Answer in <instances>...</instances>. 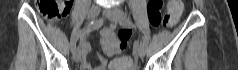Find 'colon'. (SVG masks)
I'll return each mask as SVG.
<instances>
[{"mask_svg": "<svg viewBox=\"0 0 238 70\" xmlns=\"http://www.w3.org/2000/svg\"><path fill=\"white\" fill-rule=\"evenodd\" d=\"M38 8L42 15L48 20H58L65 17L71 8L70 1L67 0H39ZM164 6L162 0H150L147 6L148 18L154 27L163 26L164 28H172L178 21L183 10V2L181 0H171L167 3V13L161 14ZM117 38L120 40L119 46L125 48L127 40L130 37L128 30H119L116 32ZM110 70H131L132 60L130 57H120L110 63Z\"/></svg>", "mask_w": 238, "mask_h": 70, "instance_id": "5ec220e1", "label": "colon"}]
</instances>
